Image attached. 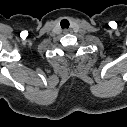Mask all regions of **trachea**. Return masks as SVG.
Returning <instances> with one entry per match:
<instances>
[{"label":"trachea","mask_w":127,"mask_h":127,"mask_svg":"<svg viewBox=\"0 0 127 127\" xmlns=\"http://www.w3.org/2000/svg\"><path fill=\"white\" fill-rule=\"evenodd\" d=\"M60 25H61V28L62 29H65V28H69V21L67 19H63L61 22H60Z\"/></svg>","instance_id":"3493384b"}]
</instances>
